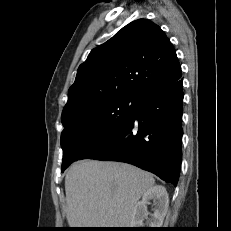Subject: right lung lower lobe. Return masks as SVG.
<instances>
[{"instance_id":"1","label":"right lung lower lobe","mask_w":231,"mask_h":231,"mask_svg":"<svg viewBox=\"0 0 231 231\" xmlns=\"http://www.w3.org/2000/svg\"><path fill=\"white\" fill-rule=\"evenodd\" d=\"M183 97L182 79L143 90L127 122L80 159L129 163L176 186L182 157Z\"/></svg>"}]
</instances>
